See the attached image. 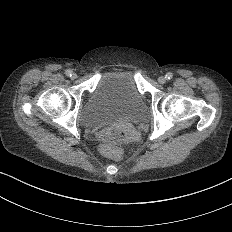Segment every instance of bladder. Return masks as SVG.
Returning a JSON list of instances; mask_svg holds the SVG:
<instances>
[{"mask_svg": "<svg viewBox=\"0 0 232 232\" xmlns=\"http://www.w3.org/2000/svg\"><path fill=\"white\" fill-rule=\"evenodd\" d=\"M147 114V104L137 91L132 74L112 71L98 79L80 109L79 121L88 129H99L120 121L142 122Z\"/></svg>", "mask_w": 232, "mask_h": 232, "instance_id": "bladder-1", "label": "bladder"}]
</instances>
